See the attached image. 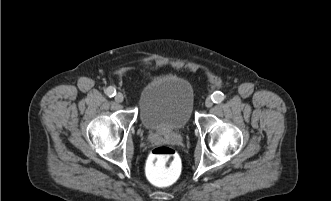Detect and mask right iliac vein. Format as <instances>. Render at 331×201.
Here are the masks:
<instances>
[{"instance_id": "right-iliac-vein-1", "label": "right iliac vein", "mask_w": 331, "mask_h": 201, "mask_svg": "<svg viewBox=\"0 0 331 201\" xmlns=\"http://www.w3.org/2000/svg\"><path fill=\"white\" fill-rule=\"evenodd\" d=\"M124 100V95L120 92H118L115 96V101L118 102V103H121L123 102Z\"/></svg>"}]
</instances>
